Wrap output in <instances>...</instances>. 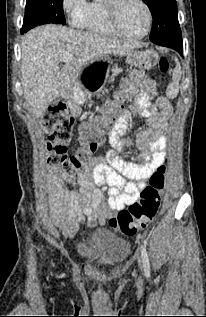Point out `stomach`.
I'll return each instance as SVG.
<instances>
[{"mask_svg": "<svg viewBox=\"0 0 206 317\" xmlns=\"http://www.w3.org/2000/svg\"><path fill=\"white\" fill-rule=\"evenodd\" d=\"M147 57H151L148 50L132 49L126 54L124 70L128 68L146 67ZM111 55H96L95 59H89L87 65L76 76V83L80 94H107V91H100V88L116 87V70L112 68ZM113 78V79H111ZM110 91V90H108ZM103 92V93H100Z\"/></svg>", "mask_w": 206, "mask_h": 317, "instance_id": "0dacf381", "label": "stomach"}]
</instances>
